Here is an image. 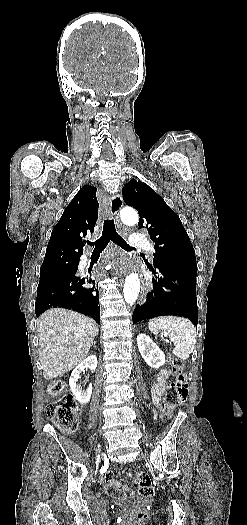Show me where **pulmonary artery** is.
I'll return each mask as SVG.
<instances>
[{"mask_svg": "<svg viewBox=\"0 0 247 525\" xmlns=\"http://www.w3.org/2000/svg\"><path fill=\"white\" fill-rule=\"evenodd\" d=\"M129 242L134 246H142L150 259H153L155 257V249L153 247V243L150 241L148 236H130ZM81 261H87V256L84 255L81 258Z\"/></svg>", "mask_w": 247, "mask_h": 525, "instance_id": "e3ab8cb5", "label": "pulmonary artery"}]
</instances>
